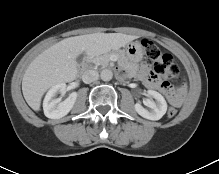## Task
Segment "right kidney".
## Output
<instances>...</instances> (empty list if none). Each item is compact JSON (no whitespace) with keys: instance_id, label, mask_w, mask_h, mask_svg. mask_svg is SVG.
Returning a JSON list of instances; mask_svg holds the SVG:
<instances>
[{"instance_id":"ca27d5eb","label":"right kidney","mask_w":219,"mask_h":174,"mask_svg":"<svg viewBox=\"0 0 219 174\" xmlns=\"http://www.w3.org/2000/svg\"><path fill=\"white\" fill-rule=\"evenodd\" d=\"M65 90V83H59L47 92L43 101V110L46 117L60 119L70 112L76 101L77 93H71L67 99L61 102L59 98H56V95L57 93H65Z\"/></svg>"}]
</instances>
